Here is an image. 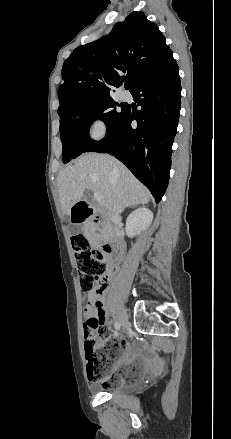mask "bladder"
<instances>
[{
  "mask_svg": "<svg viewBox=\"0 0 231 439\" xmlns=\"http://www.w3.org/2000/svg\"><path fill=\"white\" fill-rule=\"evenodd\" d=\"M129 363L124 366L125 373L130 376L140 377L144 372V365L143 363L136 359L131 358ZM96 391L107 393V394H130L134 390L133 386L131 385H123V386H115V387H105V386H98L95 388Z\"/></svg>",
  "mask_w": 231,
  "mask_h": 439,
  "instance_id": "1",
  "label": "bladder"
}]
</instances>
